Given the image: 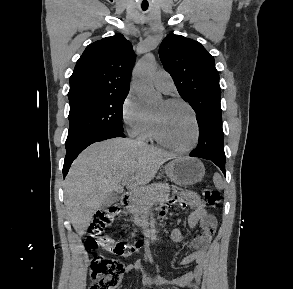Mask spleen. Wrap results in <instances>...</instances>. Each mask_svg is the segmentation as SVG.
Returning <instances> with one entry per match:
<instances>
[{"label":"spleen","instance_id":"3e777b00","mask_svg":"<svg viewBox=\"0 0 293 289\" xmlns=\"http://www.w3.org/2000/svg\"><path fill=\"white\" fill-rule=\"evenodd\" d=\"M213 182L215 184V187L219 190L223 189L224 188V182L222 180V177L220 174L218 173H215L214 176H213Z\"/></svg>","mask_w":293,"mask_h":289}]
</instances>
